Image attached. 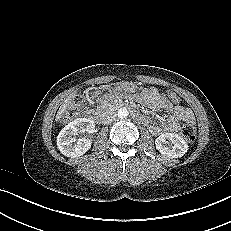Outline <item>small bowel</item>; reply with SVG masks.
I'll use <instances>...</instances> for the list:
<instances>
[{"mask_svg": "<svg viewBox=\"0 0 231 231\" xmlns=\"http://www.w3.org/2000/svg\"><path fill=\"white\" fill-rule=\"evenodd\" d=\"M133 98L150 109H162L168 112L167 117L159 120L143 117V122L156 135L176 131L182 121L194 122V114L188 107L171 103L154 87L142 90L139 94H135Z\"/></svg>", "mask_w": 231, "mask_h": 231, "instance_id": "small-bowel-1", "label": "small bowel"}]
</instances>
